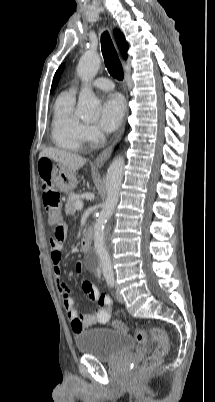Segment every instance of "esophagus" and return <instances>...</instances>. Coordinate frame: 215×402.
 I'll list each match as a JSON object with an SVG mask.
<instances>
[{"mask_svg":"<svg viewBox=\"0 0 215 402\" xmlns=\"http://www.w3.org/2000/svg\"><path fill=\"white\" fill-rule=\"evenodd\" d=\"M124 130H125V123H124V125H123V127H122V129H121V131H120V133H119V135H118V137H117L116 140L113 142V144H112L111 146H109L108 148H106V149L95 159V161H94L95 166L101 167V166L105 163V161L109 158V156H110V154H111V151H112V149H113V146L115 145L116 142H118V141L121 139V137H122V135H123V133H124Z\"/></svg>","mask_w":215,"mask_h":402,"instance_id":"esophagus-1","label":"esophagus"}]
</instances>
